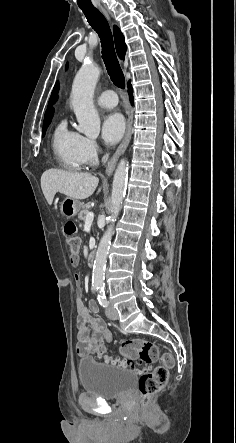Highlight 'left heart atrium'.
<instances>
[{
  "label": "left heart atrium",
  "mask_w": 236,
  "mask_h": 443,
  "mask_svg": "<svg viewBox=\"0 0 236 443\" xmlns=\"http://www.w3.org/2000/svg\"><path fill=\"white\" fill-rule=\"evenodd\" d=\"M125 131V121L118 112H111L105 115L101 123V134L108 144L118 142Z\"/></svg>",
  "instance_id": "obj_1"
}]
</instances>
